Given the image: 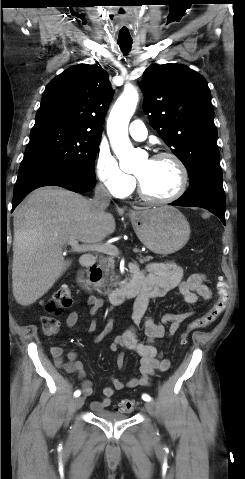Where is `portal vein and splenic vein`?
Masks as SVG:
<instances>
[{"label":"portal vein and splenic vein","mask_w":245,"mask_h":479,"mask_svg":"<svg viewBox=\"0 0 245 479\" xmlns=\"http://www.w3.org/2000/svg\"><path fill=\"white\" fill-rule=\"evenodd\" d=\"M68 244L76 252L96 251V252H100V253H104V254H108L112 256L119 255L118 248L112 244H91V243L79 244L77 240H70ZM133 252L138 253L139 250L137 248H134Z\"/></svg>","instance_id":"obj_1"}]
</instances>
